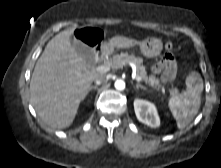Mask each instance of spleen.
Masks as SVG:
<instances>
[{"mask_svg":"<svg viewBox=\"0 0 221 168\" xmlns=\"http://www.w3.org/2000/svg\"><path fill=\"white\" fill-rule=\"evenodd\" d=\"M186 90L169 99L168 106L179 129L185 128L198 113L203 91V80L197 71L186 78Z\"/></svg>","mask_w":221,"mask_h":168,"instance_id":"1","label":"spleen"}]
</instances>
